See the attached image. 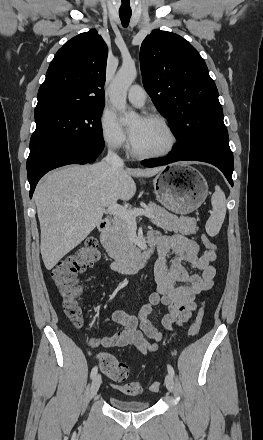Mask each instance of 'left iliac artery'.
<instances>
[{"label": "left iliac artery", "mask_w": 263, "mask_h": 440, "mask_svg": "<svg viewBox=\"0 0 263 440\" xmlns=\"http://www.w3.org/2000/svg\"><path fill=\"white\" fill-rule=\"evenodd\" d=\"M167 369H168L169 374L174 376V369H173V367L171 365H168Z\"/></svg>", "instance_id": "44dca946"}]
</instances>
